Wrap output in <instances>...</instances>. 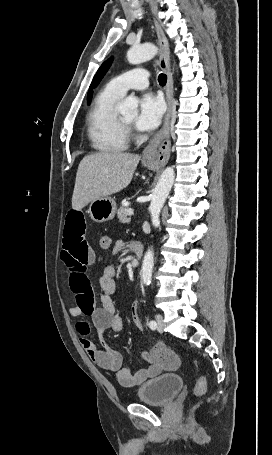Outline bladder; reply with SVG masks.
Listing matches in <instances>:
<instances>
[{
  "mask_svg": "<svg viewBox=\"0 0 272 455\" xmlns=\"http://www.w3.org/2000/svg\"><path fill=\"white\" fill-rule=\"evenodd\" d=\"M183 379L176 373H163L145 383L136 392L137 399L149 405L168 404L183 387Z\"/></svg>",
  "mask_w": 272,
  "mask_h": 455,
  "instance_id": "1",
  "label": "bladder"
}]
</instances>
